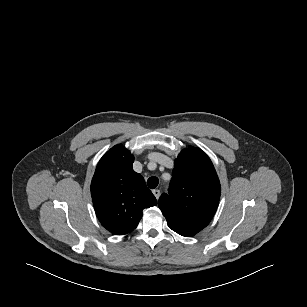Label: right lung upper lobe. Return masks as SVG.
Returning a JSON list of instances; mask_svg holds the SVG:
<instances>
[{"label":"right lung upper lobe","instance_id":"1","mask_svg":"<svg viewBox=\"0 0 307 307\" xmlns=\"http://www.w3.org/2000/svg\"><path fill=\"white\" fill-rule=\"evenodd\" d=\"M133 162L130 151L116 145L101 158L91 182L97 217L115 235L133 231L143 209L157 204L142 175L133 170Z\"/></svg>","mask_w":307,"mask_h":307}]
</instances>
